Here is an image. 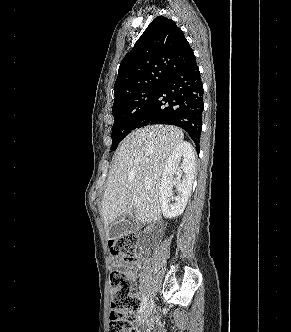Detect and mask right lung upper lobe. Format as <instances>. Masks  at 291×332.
Instances as JSON below:
<instances>
[{
	"label": "right lung upper lobe",
	"instance_id": "1",
	"mask_svg": "<svg viewBox=\"0 0 291 332\" xmlns=\"http://www.w3.org/2000/svg\"><path fill=\"white\" fill-rule=\"evenodd\" d=\"M195 59L176 23L156 17L123 58L114 84L115 100L156 82Z\"/></svg>",
	"mask_w": 291,
	"mask_h": 332
}]
</instances>
